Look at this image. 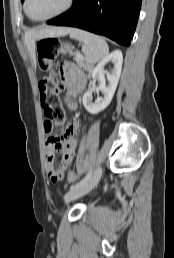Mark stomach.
I'll return each mask as SVG.
<instances>
[{"mask_svg": "<svg viewBox=\"0 0 174 258\" xmlns=\"http://www.w3.org/2000/svg\"><path fill=\"white\" fill-rule=\"evenodd\" d=\"M70 47L69 45H63L61 48H60V52L61 53H67L69 51ZM54 75V73H51L50 76L52 77Z\"/></svg>", "mask_w": 174, "mask_h": 258, "instance_id": "1", "label": "stomach"}]
</instances>
